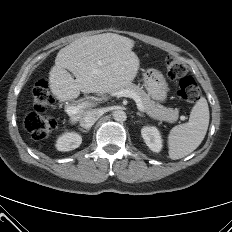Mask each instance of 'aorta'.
I'll return each instance as SVG.
<instances>
[{
	"label": "aorta",
	"mask_w": 232,
	"mask_h": 232,
	"mask_svg": "<svg viewBox=\"0 0 232 232\" xmlns=\"http://www.w3.org/2000/svg\"><path fill=\"white\" fill-rule=\"evenodd\" d=\"M113 118L117 122H124L127 118L126 113L122 110H116L113 112Z\"/></svg>",
	"instance_id": "762f6f07"
}]
</instances>
